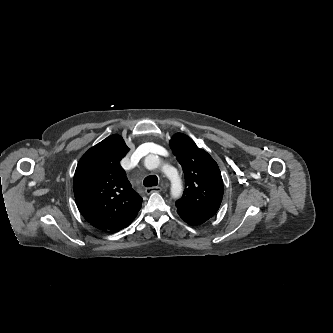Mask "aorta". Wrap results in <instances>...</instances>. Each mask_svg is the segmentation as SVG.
Segmentation results:
<instances>
[{
    "mask_svg": "<svg viewBox=\"0 0 333 333\" xmlns=\"http://www.w3.org/2000/svg\"><path fill=\"white\" fill-rule=\"evenodd\" d=\"M155 160H156V156H154V155H149L146 158L147 162H154ZM166 173L168 175H170L171 169H169ZM181 194H182V185H181V182H180L179 178L177 176L171 178V195H172V197L173 198H178Z\"/></svg>",
    "mask_w": 333,
    "mask_h": 333,
    "instance_id": "762f6f07",
    "label": "aorta"
}]
</instances>
